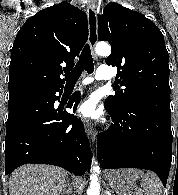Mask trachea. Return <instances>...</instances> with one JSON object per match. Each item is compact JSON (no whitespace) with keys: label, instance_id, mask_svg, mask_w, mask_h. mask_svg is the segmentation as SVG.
<instances>
[{"label":"trachea","instance_id":"trachea-1","mask_svg":"<svg viewBox=\"0 0 178 195\" xmlns=\"http://www.w3.org/2000/svg\"><path fill=\"white\" fill-rule=\"evenodd\" d=\"M83 70H86L88 74H91L94 71L93 59L88 44L83 48L79 61L74 69L70 73L65 74L66 82H76Z\"/></svg>","mask_w":178,"mask_h":195}]
</instances>
